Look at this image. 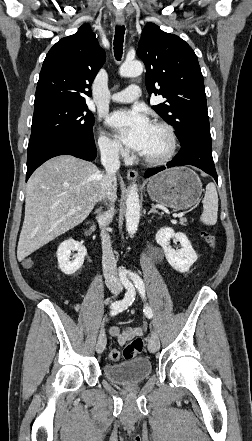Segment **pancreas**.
Segmentation results:
<instances>
[{
    "instance_id": "1",
    "label": "pancreas",
    "mask_w": 252,
    "mask_h": 441,
    "mask_svg": "<svg viewBox=\"0 0 252 441\" xmlns=\"http://www.w3.org/2000/svg\"><path fill=\"white\" fill-rule=\"evenodd\" d=\"M180 224H181V225H185V224H184V220H180Z\"/></svg>"
}]
</instances>
